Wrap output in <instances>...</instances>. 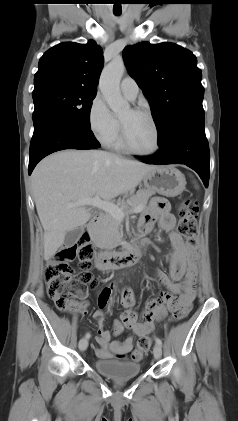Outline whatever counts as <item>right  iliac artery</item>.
I'll list each match as a JSON object with an SVG mask.
<instances>
[{"label": "right iliac artery", "instance_id": "obj_1", "mask_svg": "<svg viewBox=\"0 0 238 421\" xmlns=\"http://www.w3.org/2000/svg\"><path fill=\"white\" fill-rule=\"evenodd\" d=\"M90 333H86V335H85V337L87 338V339H89L90 338Z\"/></svg>", "mask_w": 238, "mask_h": 421}]
</instances>
